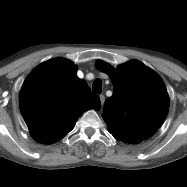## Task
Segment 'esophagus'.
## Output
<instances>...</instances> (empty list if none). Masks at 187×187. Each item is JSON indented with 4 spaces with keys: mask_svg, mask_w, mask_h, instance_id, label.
Here are the masks:
<instances>
[{
    "mask_svg": "<svg viewBox=\"0 0 187 187\" xmlns=\"http://www.w3.org/2000/svg\"><path fill=\"white\" fill-rule=\"evenodd\" d=\"M99 98H100L101 105L103 107L104 102H105V96L103 94H101V95H99Z\"/></svg>",
    "mask_w": 187,
    "mask_h": 187,
    "instance_id": "esophagus-1",
    "label": "esophagus"
}]
</instances>
